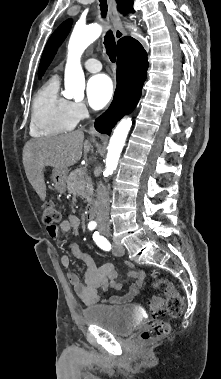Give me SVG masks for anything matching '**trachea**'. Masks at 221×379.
I'll list each match as a JSON object with an SVG mask.
<instances>
[{"label":"trachea","mask_w":221,"mask_h":379,"mask_svg":"<svg viewBox=\"0 0 221 379\" xmlns=\"http://www.w3.org/2000/svg\"><path fill=\"white\" fill-rule=\"evenodd\" d=\"M100 1V10L102 17L106 16L107 13V0H99ZM104 45L106 48V53L109 56L111 62H115L116 59V42L114 39V35L111 30H109L104 36Z\"/></svg>","instance_id":"3493384b"}]
</instances>
